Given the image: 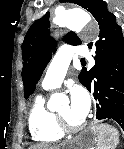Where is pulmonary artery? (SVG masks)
<instances>
[{
    "label": "pulmonary artery",
    "mask_w": 124,
    "mask_h": 149,
    "mask_svg": "<svg viewBox=\"0 0 124 149\" xmlns=\"http://www.w3.org/2000/svg\"><path fill=\"white\" fill-rule=\"evenodd\" d=\"M75 57L88 58L90 65H94V61L90 59L86 46L76 44L62 47L55 55L45 73L42 82L45 90L55 89L60 86L67 74L71 60Z\"/></svg>",
    "instance_id": "1"
}]
</instances>
